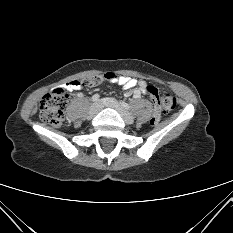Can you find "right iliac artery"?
Here are the masks:
<instances>
[{
  "label": "right iliac artery",
  "mask_w": 233,
  "mask_h": 233,
  "mask_svg": "<svg viewBox=\"0 0 233 233\" xmlns=\"http://www.w3.org/2000/svg\"><path fill=\"white\" fill-rule=\"evenodd\" d=\"M100 100V95L99 94H95L92 96V101L93 102H98Z\"/></svg>",
  "instance_id": "82829eb1"
}]
</instances>
